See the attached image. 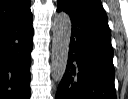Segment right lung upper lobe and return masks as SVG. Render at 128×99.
I'll return each mask as SVG.
<instances>
[{"label":"right lung upper lobe","instance_id":"obj_1","mask_svg":"<svg viewBox=\"0 0 128 99\" xmlns=\"http://www.w3.org/2000/svg\"><path fill=\"white\" fill-rule=\"evenodd\" d=\"M30 10V0H0V29Z\"/></svg>","mask_w":128,"mask_h":99}]
</instances>
